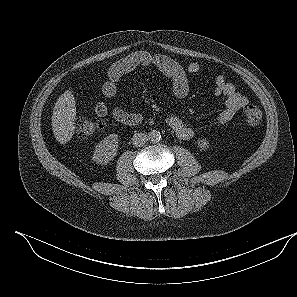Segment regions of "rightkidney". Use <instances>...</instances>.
<instances>
[{
  "label": "right kidney",
  "instance_id": "ca27d5eb",
  "mask_svg": "<svg viewBox=\"0 0 297 297\" xmlns=\"http://www.w3.org/2000/svg\"><path fill=\"white\" fill-rule=\"evenodd\" d=\"M119 137L117 134H110L101 140L96 146L93 154V161L104 165L113 160L117 155Z\"/></svg>",
  "mask_w": 297,
  "mask_h": 297
}]
</instances>
